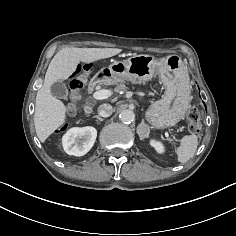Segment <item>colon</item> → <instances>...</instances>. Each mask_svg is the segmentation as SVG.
Here are the masks:
<instances>
[{
    "label": "colon",
    "instance_id": "obj_1",
    "mask_svg": "<svg viewBox=\"0 0 236 236\" xmlns=\"http://www.w3.org/2000/svg\"><path fill=\"white\" fill-rule=\"evenodd\" d=\"M84 68L81 65H76L74 68V78L69 84V99L71 101L72 107L74 103L79 98V91L82 89L84 81L80 77V74ZM186 118L188 121V130L193 135H200L201 133V123H200V112L196 107H191L188 109Z\"/></svg>",
    "mask_w": 236,
    "mask_h": 236
}]
</instances>
